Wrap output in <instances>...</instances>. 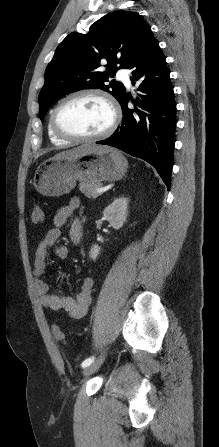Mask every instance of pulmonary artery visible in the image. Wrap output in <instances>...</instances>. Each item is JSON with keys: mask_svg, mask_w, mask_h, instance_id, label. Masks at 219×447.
<instances>
[{"mask_svg": "<svg viewBox=\"0 0 219 447\" xmlns=\"http://www.w3.org/2000/svg\"><path fill=\"white\" fill-rule=\"evenodd\" d=\"M117 75L124 81L125 84H130L128 74L124 69L118 70Z\"/></svg>", "mask_w": 219, "mask_h": 447, "instance_id": "obj_1", "label": "pulmonary artery"}]
</instances>
